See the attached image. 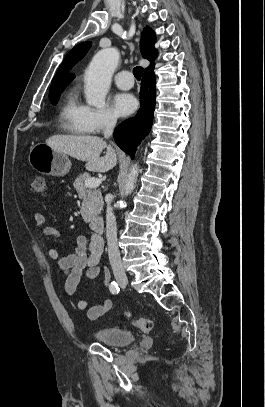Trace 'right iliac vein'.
Instances as JSON below:
<instances>
[{
    "mask_svg": "<svg viewBox=\"0 0 265 407\" xmlns=\"http://www.w3.org/2000/svg\"><path fill=\"white\" fill-rule=\"evenodd\" d=\"M117 281L120 285H123V286L127 285V283H128L127 278H118Z\"/></svg>",
    "mask_w": 265,
    "mask_h": 407,
    "instance_id": "63e3f726",
    "label": "right iliac vein"
}]
</instances>
